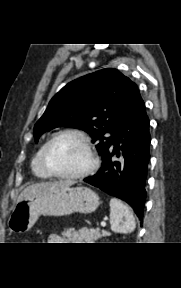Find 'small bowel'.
Returning a JSON list of instances; mask_svg holds the SVG:
<instances>
[{
	"label": "small bowel",
	"mask_w": 181,
	"mask_h": 288,
	"mask_svg": "<svg viewBox=\"0 0 181 288\" xmlns=\"http://www.w3.org/2000/svg\"><path fill=\"white\" fill-rule=\"evenodd\" d=\"M61 241V237L57 234H52L49 237V243H59Z\"/></svg>",
	"instance_id": "small-bowel-1"
}]
</instances>
